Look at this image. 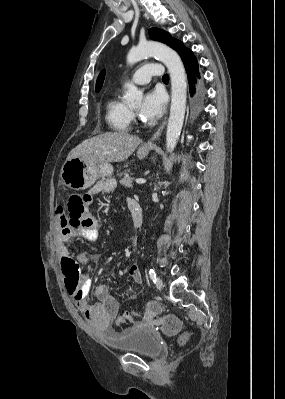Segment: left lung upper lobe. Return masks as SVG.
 Segmentation results:
<instances>
[{
  "mask_svg": "<svg viewBox=\"0 0 285 399\" xmlns=\"http://www.w3.org/2000/svg\"><path fill=\"white\" fill-rule=\"evenodd\" d=\"M148 34L151 39L167 44L175 51H177L179 54L184 50L188 49L184 47L181 41L172 38V36L164 30L158 28H151L149 29Z\"/></svg>",
  "mask_w": 285,
  "mask_h": 399,
  "instance_id": "obj_1",
  "label": "left lung upper lobe"
}]
</instances>
